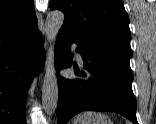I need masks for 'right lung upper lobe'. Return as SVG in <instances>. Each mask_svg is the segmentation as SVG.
I'll list each match as a JSON object with an SVG mask.
<instances>
[{"instance_id":"cb5924a9","label":"right lung upper lobe","mask_w":156,"mask_h":124,"mask_svg":"<svg viewBox=\"0 0 156 124\" xmlns=\"http://www.w3.org/2000/svg\"><path fill=\"white\" fill-rule=\"evenodd\" d=\"M33 0H0V40L38 29Z\"/></svg>"}]
</instances>
